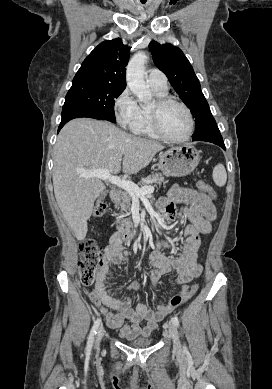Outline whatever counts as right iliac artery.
Here are the masks:
<instances>
[{
    "mask_svg": "<svg viewBox=\"0 0 272 389\" xmlns=\"http://www.w3.org/2000/svg\"><path fill=\"white\" fill-rule=\"evenodd\" d=\"M100 323H101V319L98 318L94 322V325H93V327L91 329V332H90L89 337H88L87 347H86V351L88 353L91 351V348H92V345H93V342H94V338H95V335L97 333V329H98Z\"/></svg>",
    "mask_w": 272,
    "mask_h": 389,
    "instance_id": "right-iliac-artery-1",
    "label": "right iliac artery"
}]
</instances>
